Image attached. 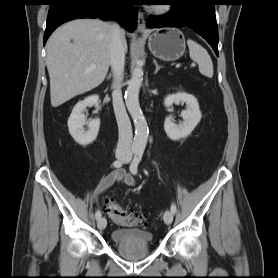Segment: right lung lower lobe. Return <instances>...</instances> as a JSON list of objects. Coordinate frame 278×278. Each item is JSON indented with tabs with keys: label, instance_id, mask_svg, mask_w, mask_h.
I'll use <instances>...</instances> for the list:
<instances>
[{
	"label": "right lung lower lobe",
	"instance_id": "right-lung-lower-lobe-1",
	"mask_svg": "<svg viewBox=\"0 0 278 278\" xmlns=\"http://www.w3.org/2000/svg\"><path fill=\"white\" fill-rule=\"evenodd\" d=\"M130 0H52L44 33V45L51 33L64 22L78 18L116 19L127 30L137 26V11Z\"/></svg>",
	"mask_w": 278,
	"mask_h": 278
}]
</instances>
